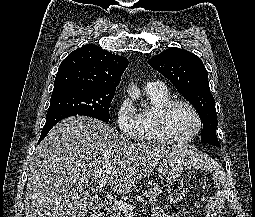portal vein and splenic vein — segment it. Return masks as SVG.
Returning <instances> with one entry per match:
<instances>
[{
  "label": "portal vein and splenic vein",
  "mask_w": 255,
  "mask_h": 217,
  "mask_svg": "<svg viewBox=\"0 0 255 217\" xmlns=\"http://www.w3.org/2000/svg\"><path fill=\"white\" fill-rule=\"evenodd\" d=\"M84 182L86 184L89 183V181L86 179L84 180ZM99 190L102 191V193H105L106 194V197L110 200V202L115 205L119 211H121L123 214H129L131 215L132 214V210H133V206L125 201H121V200H116L113 198V196L111 194H109L105 187H106V184L108 183V180L106 178H103L101 180H99Z\"/></svg>",
  "instance_id": "1"
}]
</instances>
